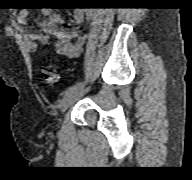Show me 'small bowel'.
<instances>
[{
  "instance_id": "c3829d8e",
  "label": "small bowel",
  "mask_w": 192,
  "mask_h": 180,
  "mask_svg": "<svg viewBox=\"0 0 192 180\" xmlns=\"http://www.w3.org/2000/svg\"><path fill=\"white\" fill-rule=\"evenodd\" d=\"M47 20L40 24L43 34L23 31L22 36L25 41L26 48L29 52H36L39 44H48L50 36L56 39L53 50L55 54L67 58H77L86 41L85 34H78L77 32H68L64 30L62 18L52 13L50 10H44ZM29 12L27 9H22L17 14V22L25 26L28 24ZM94 11L92 9L82 10L75 9L73 11V23H82L84 18L92 19Z\"/></svg>"
}]
</instances>
